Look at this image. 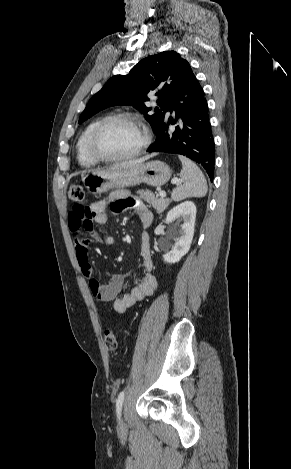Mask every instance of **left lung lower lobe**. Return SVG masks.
Listing matches in <instances>:
<instances>
[{
  "mask_svg": "<svg viewBox=\"0 0 291 469\" xmlns=\"http://www.w3.org/2000/svg\"><path fill=\"white\" fill-rule=\"evenodd\" d=\"M175 111V118H165L156 131L155 143L147 152H167L186 156L199 163L211 181L214 178L215 144L204 92L192 69L178 92L171 98L166 112ZM170 124H177L169 130Z\"/></svg>",
  "mask_w": 291,
  "mask_h": 469,
  "instance_id": "1",
  "label": "left lung lower lobe"
}]
</instances>
